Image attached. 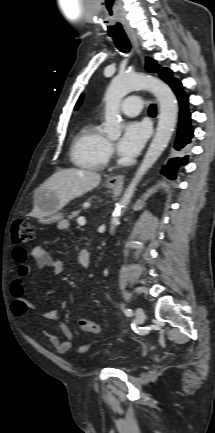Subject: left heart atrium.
<instances>
[{"label": "left heart atrium", "instance_id": "left-heart-atrium-1", "mask_svg": "<svg viewBox=\"0 0 215 433\" xmlns=\"http://www.w3.org/2000/svg\"><path fill=\"white\" fill-rule=\"evenodd\" d=\"M148 137V127L139 121L128 122L123 135L118 142L119 152L126 157H133L139 153Z\"/></svg>", "mask_w": 215, "mask_h": 433}]
</instances>
